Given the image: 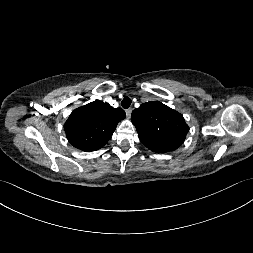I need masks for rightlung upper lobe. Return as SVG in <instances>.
Instances as JSON below:
<instances>
[{
  "label": "right lung upper lobe",
  "mask_w": 253,
  "mask_h": 253,
  "mask_svg": "<svg viewBox=\"0 0 253 253\" xmlns=\"http://www.w3.org/2000/svg\"><path fill=\"white\" fill-rule=\"evenodd\" d=\"M126 114L121 108L96 100L75 109L64 124L68 141L83 151L103 147Z\"/></svg>",
  "instance_id": "cb5924a9"
}]
</instances>
